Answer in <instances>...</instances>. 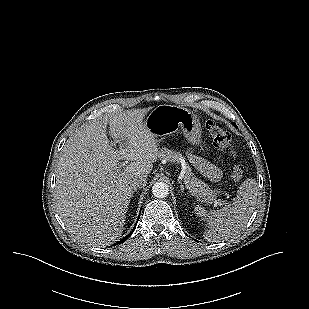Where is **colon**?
<instances>
[{"label":"colon","instance_id":"colon-1","mask_svg":"<svg viewBox=\"0 0 309 309\" xmlns=\"http://www.w3.org/2000/svg\"><path fill=\"white\" fill-rule=\"evenodd\" d=\"M206 129L209 136L216 147L225 152H232L233 144L231 136L220 126L213 121L206 123ZM244 176V167L241 164L235 163L231 166V177L235 182L242 180Z\"/></svg>","mask_w":309,"mask_h":309}]
</instances>
